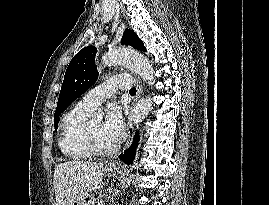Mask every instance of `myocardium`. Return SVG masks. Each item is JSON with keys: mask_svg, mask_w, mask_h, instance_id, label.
I'll list each match as a JSON object with an SVG mask.
<instances>
[{"mask_svg": "<svg viewBox=\"0 0 269 205\" xmlns=\"http://www.w3.org/2000/svg\"><path fill=\"white\" fill-rule=\"evenodd\" d=\"M84 137H85V143L90 151V153L92 155L95 156H108L113 154L116 150H117V146L114 145L110 148H103L101 147L96 139L94 138V136L92 135L89 126L85 127V131H84Z\"/></svg>", "mask_w": 269, "mask_h": 205, "instance_id": "myocardium-1", "label": "myocardium"}]
</instances>
